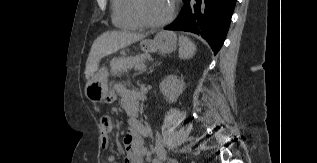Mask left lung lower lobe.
Wrapping results in <instances>:
<instances>
[{"instance_id":"left-lung-lower-lobe-1","label":"left lung lower lobe","mask_w":317,"mask_h":163,"mask_svg":"<svg viewBox=\"0 0 317 163\" xmlns=\"http://www.w3.org/2000/svg\"><path fill=\"white\" fill-rule=\"evenodd\" d=\"M177 19L166 30L193 32L208 41L216 54L225 40L236 0H183Z\"/></svg>"}]
</instances>
